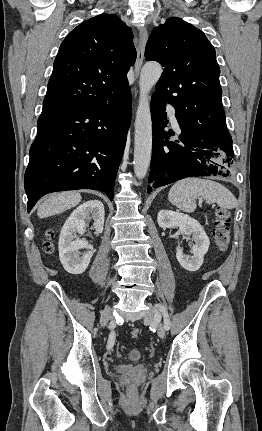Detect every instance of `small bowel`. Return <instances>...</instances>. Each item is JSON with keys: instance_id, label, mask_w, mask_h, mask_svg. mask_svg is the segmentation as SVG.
<instances>
[{"instance_id": "small-bowel-1", "label": "small bowel", "mask_w": 262, "mask_h": 431, "mask_svg": "<svg viewBox=\"0 0 262 431\" xmlns=\"http://www.w3.org/2000/svg\"><path fill=\"white\" fill-rule=\"evenodd\" d=\"M111 333H112V338H115V336H116L115 333L114 332H111Z\"/></svg>"}]
</instances>
